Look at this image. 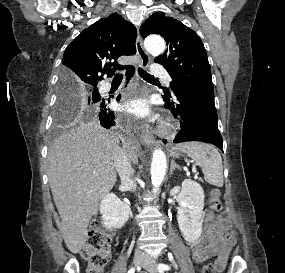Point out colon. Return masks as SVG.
<instances>
[{
  "label": "colon",
  "mask_w": 285,
  "mask_h": 273,
  "mask_svg": "<svg viewBox=\"0 0 285 273\" xmlns=\"http://www.w3.org/2000/svg\"><path fill=\"white\" fill-rule=\"evenodd\" d=\"M211 208L220 212L222 202L220 191L213 189L210 193ZM112 231L92 226L81 249V255L88 265V273H103L111 260ZM201 273H216V267L209 263L203 266Z\"/></svg>",
  "instance_id": "colon-1"
}]
</instances>
